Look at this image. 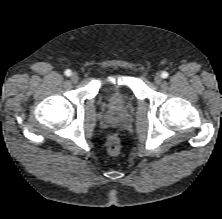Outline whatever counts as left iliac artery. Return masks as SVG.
Listing matches in <instances>:
<instances>
[{
	"label": "left iliac artery",
	"mask_w": 222,
	"mask_h": 219,
	"mask_svg": "<svg viewBox=\"0 0 222 219\" xmlns=\"http://www.w3.org/2000/svg\"><path fill=\"white\" fill-rule=\"evenodd\" d=\"M161 76H162V78H167L168 77V73L166 71H163Z\"/></svg>",
	"instance_id": "left-iliac-artery-1"
}]
</instances>
